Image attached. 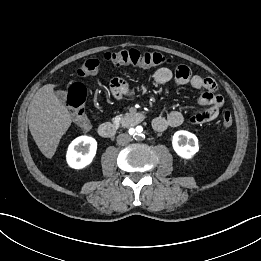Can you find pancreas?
Instances as JSON below:
<instances>
[{
  "instance_id": "1",
  "label": "pancreas",
  "mask_w": 261,
  "mask_h": 261,
  "mask_svg": "<svg viewBox=\"0 0 261 261\" xmlns=\"http://www.w3.org/2000/svg\"><path fill=\"white\" fill-rule=\"evenodd\" d=\"M122 119H123V115H118V116H116V117H114V118L112 119V122H113L115 125H119L120 122L122 121Z\"/></svg>"
}]
</instances>
